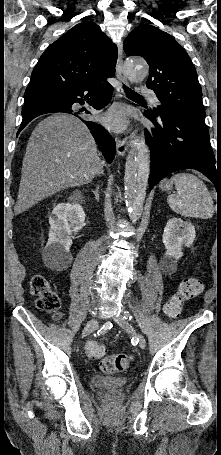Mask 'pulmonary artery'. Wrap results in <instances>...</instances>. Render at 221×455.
I'll use <instances>...</instances> for the list:
<instances>
[{
  "instance_id": "obj_1",
  "label": "pulmonary artery",
  "mask_w": 221,
  "mask_h": 455,
  "mask_svg": "<svg viewBox=\"0 0 221 455\" xmlns=\"http://www.w3.org/2000/svg\"><path fill=\"white\" fill-rule=\"evenodd\" d=\"M140 92H141V95H143V96H147V97L153 96V91L144 86L140 88ZM155 103L158 104L157 101Z\"/></svg>"
}]
</instances>
